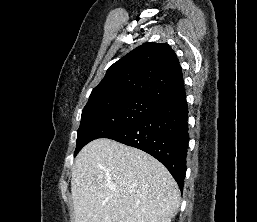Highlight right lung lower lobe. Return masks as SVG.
<instances>
[{
  "instance_id": "98d812e1",
  "label": "right lung lower lobe",
  "mask_w": 257,
  "mask_h": 222,
  "mask_svg": "<svg viewBox=\"0 0 257 222\" xmlns=\"http://www.w3.org/2000/svg\"><path fill=\"white\" fill-rule=\"evenodd\" d=\"M188 107L185 95L160 104L148 115L110 136V139L143 150L159 160L184 187L188 148Z\"/></svg>"
}]
</instances>
